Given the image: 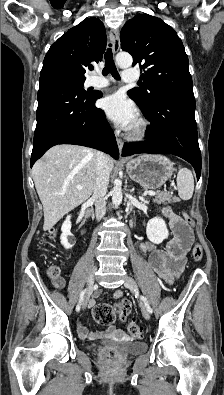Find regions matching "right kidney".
Returning a JSON list of instances; mask_svg holds the SVG:
<instances>
[{
    "instance_id": "ca27d5eb",
    "label": "right kidney",
    "mask_w": 224,
    "mask_h": 395,
    "mask_svg": "<svg viewBox=\"0 0 224 395\" xmlns=\"http://www.w3.org/2000/svg\"><path fill=\"white\" fill-rule=\"evenodd\" d=\"M71 216H67L65 221L62 224L61 231L62 234L60 236L61 244L65 249H70L76 243V239L74 235L70 232L71 230Z\"/></svg>"
}]
</instances>
